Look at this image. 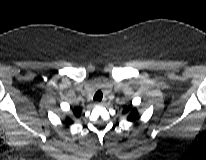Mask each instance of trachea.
<instances>
[{"label":"trachea","mask_w":206,"mask_h":160,"mask_svg":"<svg viewBox=\"0 0 206 160\" xmlns=\"http://www.w3.org/2000/svg\"><path fill=\"white\" fill-rule=\"evenodd\" d=\"M102 97H103V94H102V92L99 90V91H97V92L95 93V95H94V100H95V101H101V100H102Z\"/></svg>","instance_id":"1"}]
</instances>
